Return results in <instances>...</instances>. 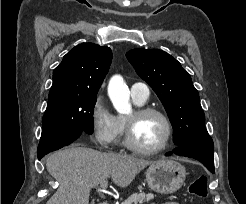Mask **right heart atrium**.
I'll return each mask as SVG.
<instances>
[{
    "label": "right heart atrium",
    "mask_w": 246,
    "mask_h": 204,
    "mask_svg": "<svg viewBox=\"0 0 246 204\" xmlns=\"http://www.w3.org/2000/svg\"><path fill=\"white\" fill-rule=\"evenodd\" d=\"M91 137L100 148H107L115 139L117 116H115L105 97L98 94L91 108Z\"/></svg>",
    "instance_id": "d8ad5b80"
}]
</instances>
